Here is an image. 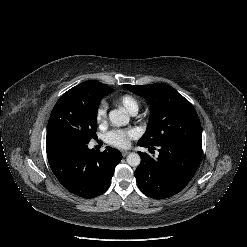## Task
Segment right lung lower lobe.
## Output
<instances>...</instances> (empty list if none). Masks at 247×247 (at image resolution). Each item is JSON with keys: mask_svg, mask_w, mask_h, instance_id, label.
Instances as JSON below:
<instances>
[{"mask_svg": "<svg viewBox=\"0 0 247 247\" xmlns=\"http://www.w3.org/2000/svg\"><path fill=\"white\" fill-rule=\"evenodd\" d=\"M50 167L58 181L71 193L94 198L110 186L119 150L106 147L103 152L88 148V143L59 141L46 145Z\"/></svg>", "mask_w": 247, "mask_h": 247, "instance_id": "right-lung-lower-lobe-1", "label": "right lung lower lobe"}]
</instances>
